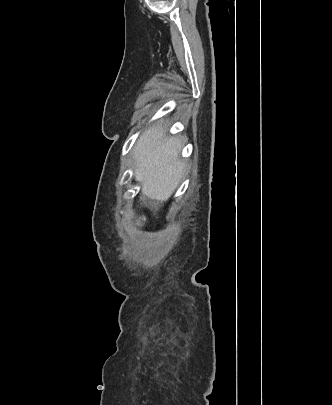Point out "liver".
<instances>
[{"instance_id": "obj_1", "label": "liver", "mask_w": 332, "mask_h": 405, "mask_svg": "<svg viewBox=\"0 0 332 405\" xmlns=\"http://www.w3.org/2000/svg\"><path fill=\"white\" fill-rule=\"evenodd\" d=\"M179 137L166 136L162 123L149 127L134 146V178L142 184V193L151 199L167 201L185 172L180 160Z\"/></svg>"}]
</instances>
